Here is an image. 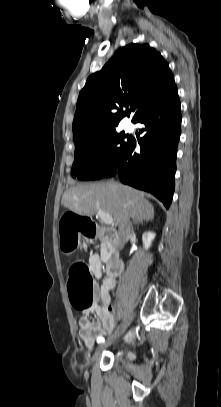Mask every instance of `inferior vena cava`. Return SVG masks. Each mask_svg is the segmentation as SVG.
<instances>
[{
	"label": "inferior vena cava",
	"mask_w": 221,
	"mask_h": 407,
	"mask_svg": "<svg viewBox=\"0 0 221 407\" xmlns=\"http://www.w3.org/2000/svg\"><path fill=\"white\" fill-rule=\"evenodd\" d=\"M133 232L132 222L130 221L128 215H125L119 224V236L121 241L126 242Z\"/></svg>",
	"instance_id": "obj_1"
}]
</instances>
